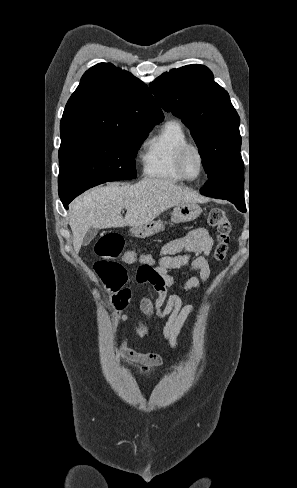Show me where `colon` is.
<instances>
[{
    "instance_id": "1",
    "label": "colon",
    "mask_w": 297,
    "mask_h": 488,
    "mask_svg": "<svg viewBox=\"0 0 297 488\" xmlns=\"http://www.w3.org/2000/svg\"><path fill=\"white\" fill-rule=\"evenodd\" d=\"M208 223L217 230V245L214 258L221 261L225 258L230 242L232 229L231 221L221 209L214 208L209 212ZM122 237L117 233H106L100 237L95 245V252L101 258L94 265V270L106 287L113 293L112 305L119 311L123 309L130 298L131 290L127 286L129 281L125 266L116 261L122 253ZM127 256L126 252L123 256ZM128 257H130L128 255ZM142 263L139 264L134 281L141 285L148 281V277L155 265L156 258L151 254H143Z\"/></svg>"
}]
</instances>
